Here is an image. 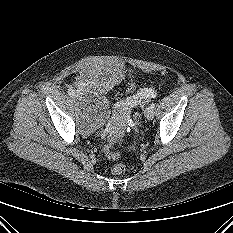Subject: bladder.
<instances>
[{
    "label": "bladder",
    "mask_w": 233,
    "mask_h": 233,
    "mask_svg": "<svg viewBox=\"0 0 233 233\" xmlns=\"http://www.w3.org/2000/svg\"><path fill=\"white\" fill-rule=\"evenodd\" d=\"M122 77V70L112 65L91 63L80 68L74 89L83 131L91 133L108 120L107 92Z\"/></svg>",
    "instance_id": "1"
}]
</instances>
